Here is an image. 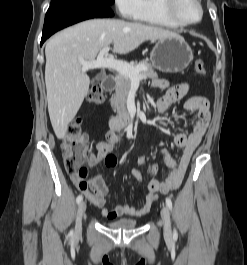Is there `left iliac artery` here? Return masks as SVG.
<instances>
[{
    "instance_id": "obj_1",
    "label": "left iliac artery",
    "mask_w": 247,
    "mask_h": 265,
    "mask_svg": "<svg viewBox=\"0 0 247 265\" xmlns=\"http://www.w3.org/2000/svg\"><path fill=\"white\" fill-rule=\"evenodd\" d=\"M166 204H167L168 208H169L170 210H172V201H171L170 198H166ZM177 237H178L177 231L174 230L173 238H174V239H177Z\"/></svg>"
}]
</instances>
